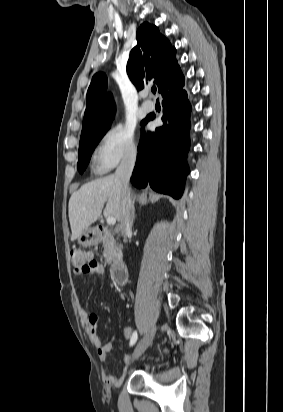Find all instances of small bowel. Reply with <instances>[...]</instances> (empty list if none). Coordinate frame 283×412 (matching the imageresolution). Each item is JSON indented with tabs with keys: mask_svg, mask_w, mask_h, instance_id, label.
I'll return each instance as SVG.
<instances>
[{
	"mask_svg": "<svg viewBox=\"0 0 283 412\" xmlns=\"http://www.w3.org/2000/svg\"><path fill=\"white\" fill-rule=\"evenodd\" d=\"M90 275L103 276L104 275L103 266L99 264L98 271L93 273V274H90ZM80 317H81V320L83 322L85 331H86L91 343L93 344V346L97 350L99 359L101 361H106L107 358H108L109 352L112 350V348L114 346V342L109 341V342H106V343L103 344L100 341L99 336L97 334V325H98V321H99V317L97 316V314H95L93 312H89L85 309H82V310H80ZM132 335H133L132 328L129 327V326L125 327L124 330H123L124 338H126V339L131 338ZM125 361L128 362L129 357H125ZM125 371H126V369L123 370V372L120 376L107 375L106 373L103 372L102 373V378L108 385L117 386L122 382Z\"/></svg>",
	"mask_w": 283,
	"mask_h": 412,
	"instance_id": "c3829d8e",
	"label": "small bowel"
}]
</instances>
